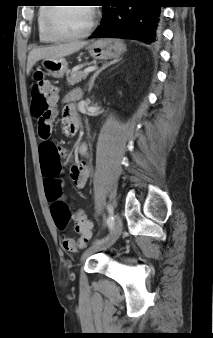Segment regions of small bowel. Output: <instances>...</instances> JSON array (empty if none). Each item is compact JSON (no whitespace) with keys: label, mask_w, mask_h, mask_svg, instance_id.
Returning a JSON list of instances; mask_svg holds the SVG:
<instances>
[{"label":"small bowel","mask_w":213,"mask_h":338,"mask_svg":"<svg viewBox=\"0 0 213 338\" xmlns=\"http://www.w3.org/2000/svg\"><path fill=\"white\" fill-rule=\"evenodd\" d=\"M79 98L78 91H72L65 97V106L63 109V115L66 122L65 134H70V123L72 120L78 119L74 116V102ZM51 124V120H45ZM44 143H51L49 139L43 140L41 146ZM81 150L84 151L85 147H81ZM63 152V149L57 147L49 156L40 150V166L41 173L44 177L45 182V193L47 201L50 204V211L52 217L58 226L59 229L64 230L67 227L68 220L64 224H58L53 216L52 209L57 204H62L63 201L60 200L59 195L62 188V178L60 174L61 164L59 161V154ZM70 176L74 185L78 189L84 188L87 179L89 177V168L83 165H73L70 168Z\"/></svg>","instance_id":"obj_1"}]
</instances>
